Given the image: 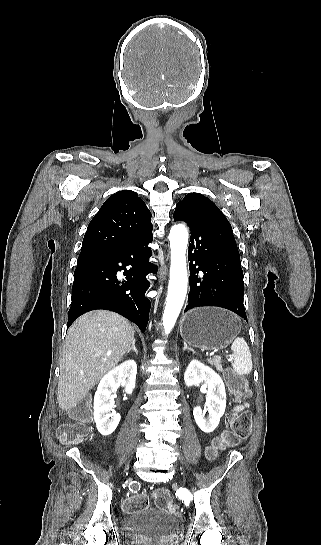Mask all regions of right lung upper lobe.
Listing matches in <instances>:
<instances>
[{
    "label": "right lung upper lobe",
    "mask_w": 321,
    "mask_h": 545,
    "mask_svg": "<svg viewBox=\"0 0 321 545\" xmlns=\"http://www.w3.org/2000/svg\"><path fill=\"white\" fill-rule=\"evenodd\" d=\"M151 213L138 194L110 196L88 225L78 259L112 253L152 234Z\"/></svg>",
    "instance_id": "right-lung-upper-lobe-1"
}]
</instances>
